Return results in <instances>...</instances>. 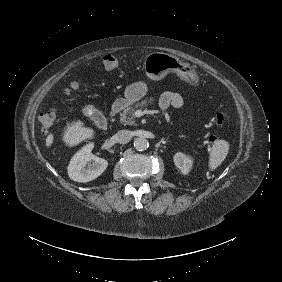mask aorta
Segmentation results:
<instances>
[{
  "label": "aorta",
  "instance_id": "1",
  "mask_svg": "<svg viewBox=\"0 0 282 282\" xmlns=\"http://www.w3.org/2000/svg\"><path fill=\"white\" fill-rule=\"evenodd\" d=\"M134 147L138 151H144L149 147V142L146 138L138 137L134 140Z\"/></svg>",
  "mask_w": 282,
  "mask_h": 282
}]
</instances>
